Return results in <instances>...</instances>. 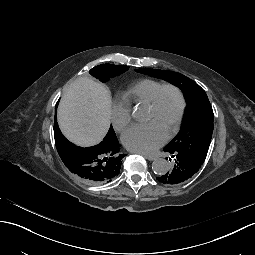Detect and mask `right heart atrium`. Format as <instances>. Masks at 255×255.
<instances>
[{"instance_id":"d8ad5b80","label":"right heart atrium","mask_w":255,"mask_h":255,"mask_svg":"<svg viewBox=\"0 0 255 255\" xmlns=\"http://www.w3.org/2000/svg\"><path fill=\"white\" fill-rule=\"evenodd\" d=\"M110 121L116 132H122L132 121L130 109L115 102L110 110Z\"/></svg>"}]
</instances>
